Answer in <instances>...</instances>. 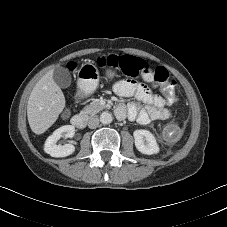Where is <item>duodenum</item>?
<instances>
[{"instance_id": "obj_1", "label": "duodenum", "mask_w": 227, "mask_h": 227, "mask_svg": "<svg viewBox=\"0 0 227 227\" xmlns=\"http://www.w3.org/2000/svg\"><path fill=\"white\" fill-rule=\"evenodd\" d=\"M87 94H88V90L86 89L85 82L80 81L77 85L76 96L85 97ZM71 123L75 128L83 130L86 128L87 119L85 115L77 114L72 117Z\"/></svg>"}]
</instances>
